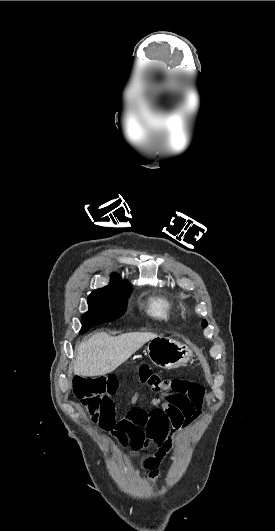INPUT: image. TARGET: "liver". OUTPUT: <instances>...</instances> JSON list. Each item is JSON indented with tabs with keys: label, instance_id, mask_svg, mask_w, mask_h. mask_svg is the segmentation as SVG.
<instances>
[{
	"label": "liver",
	"instance_id": "6515ba94",
	"mask_svg": "<svg viewBox=\"0 0 275 531\" xmlns=\"http://www.w3.org/2000/svg\"><path fill=\"white\" fill-rule=\"evenodd\" d=\"M154 337H157L154 333H125L118 337L96 333L88 341L77 345L73 373L81 377L112 373Z\"/></svg>",
	"mask_w": 275,
	"mask_h": 531
}]
</instances>
